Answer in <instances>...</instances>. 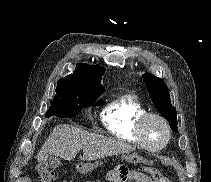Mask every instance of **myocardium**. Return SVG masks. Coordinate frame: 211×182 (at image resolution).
Segmentation results:
<instances>
[{
  "label": "myocardium",
  "mask_w": 211,
  "mask_h": 182,
  "mask_svg": "<svg viewBox=\"0 0 211 182\" xmlns=\"http://www.w3.org/2000/svg\"><path fill=\"white\" fill-rule=\"evenodd\" d=\"M150 119L159 120L163 124V126L166 130V138H165L164 142L158 146L148 145V143L146 142V139L144 137V126H145L146 122ZM135 135H136V138H137L139 144L142 147H144L145 149L150 150V151H159V150L163 149L164 147H166L168 145V143L170 142L171 136H172V131H171V127L165 117H163L162 115L157 114V113L146 112L137 121L136 128H135Z\"/></svg>",
  "instance_id": "1"
}]
</instances>
